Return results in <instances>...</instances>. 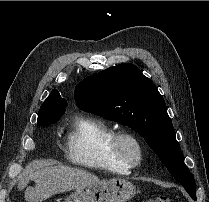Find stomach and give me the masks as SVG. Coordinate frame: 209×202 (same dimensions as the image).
Segmentation results:
<instances>
[{
	"label": "stomach",
	"instance_id": "stomach-1",
	"mask_svg": "<svg viewBox=\"0 0 209 202\" xmlns=\"http://www.w3.org/2000/svg\"><path fill=\"white\" fill-rule=\"evenodd\" d=\"M136 194L135 186L124 179H110L75 189L64 202H127Z\"/></svg>",
	"mask_w": 209,
	"mask_h": 202
}]
</instances>
